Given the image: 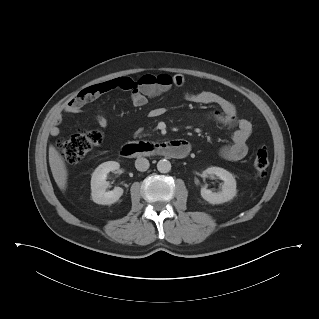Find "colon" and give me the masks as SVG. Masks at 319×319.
<instances>
[{"label":"colon","instance_id":"5ec220e1","mask_svg":"<svg viewBox=\"0 0 319 319\" xmlns=\"http://www.w3.org/2000/svg\"><path fill=\"white\" fill-rule=\"evenodd\" d=\"M171 83L169 75L146 74L132 80L130 78L122 82L119 88L125 91H141L144 93L155 91ZM102 141V134L97 130L82 131L58 140L57 146L63 160L73 164L84 158L94 147ZM269 166L268 152L260 148L253 157V168L257 179H263Z\"/></svg>","mask_w":319,"mask_h":319}]
</instances>
